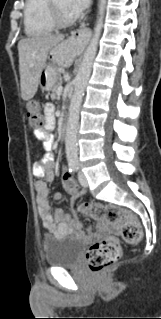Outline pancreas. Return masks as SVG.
I'll return each instance as SVG.
<instances>
[{
    "label": "pancreas",
    "instance_id": "1",
    "mask_svg": "<svg viewBox=\"0 0 161 319\" xmlns=\"http://www.w3.org/2000/svg\"><path fill=\"white\" fill-rule=\"evenodd\" d=\"M59 86H61V80H60V78H57V81H56L55 85H54L53 88H52L51 97H52L53 99H56V98H57V95H58V94H57V90H58Z\"/></svg>",
    "mask_w": 161,
    "mask_h": 319
}]
</instances>
